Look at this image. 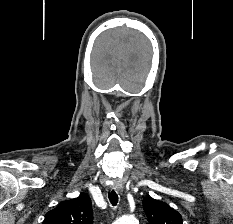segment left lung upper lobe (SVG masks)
Segmentation results:
<instances>
[{
    "label": "left lung upper lobe",
    "instance_id": "5c2ea615",
    "mask_svg": "<svg viewBox=\"0 0 233 224\" xmlns=\"http://www.w3.org/2000/svg\"><path fill=\"white\" fill-rule=\"evenodd\" d=\"M143 208L150 224H182V216L162 201L146 197Z\"/></svg>",
    "mask_w": 233,
    "mask_h": 224
}]
</instances>
